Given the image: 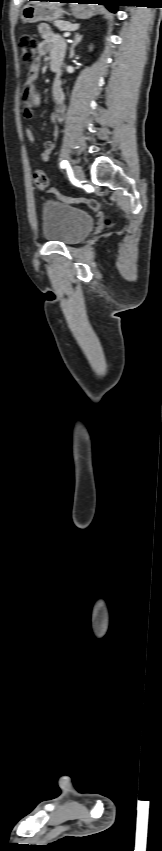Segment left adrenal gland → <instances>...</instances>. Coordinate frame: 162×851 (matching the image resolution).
<instances>
[{"label":"left adrenal gland","instance_id":"left-adrenal-gland-1","mask_svg":"<svg viewBox=\"0 0 162 851\" xmlns=\"http://www.w3.org/2000/svg\"><path fill=\"white\" fill-rule=\"evenodd\" d=\"M74 39H75V40H74V42H73V44L71 45V48H70V55H69V58H73V57H74V48H75V46H76L79 42H81V40H82V35H80L79 33H76V34H75V38H74Z\"/></svg>","mask_w":162,"mask_h":851}]
</instances>
